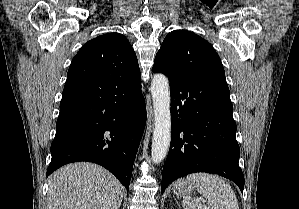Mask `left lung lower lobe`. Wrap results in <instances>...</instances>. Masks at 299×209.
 I'll return each instance as SVG.
<instances>
[{"instance_id": "obj_1", "label": "left lung lower lobe", "mask_w": 299, "mask_h": 209, "mask_svg": "<svg viewBox=\"0 0 299 209\" xmlns=\"http://www.w3.org/2000/svg\"><path fill=\"white\" fill-rule=\"evenodd\" d=\"M172 139L162 172L161 192L177 178L214 173L244 189L240 148L227 83L170 79Z\"/></svg>"}]
</instances>
